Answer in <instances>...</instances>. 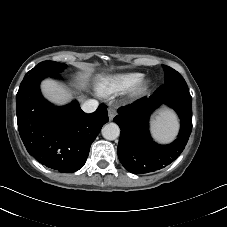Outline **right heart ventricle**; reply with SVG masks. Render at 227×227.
Here are the masks:
<instances>
[{
	"label": "right heart ventricle",
	"mask_w": 227,
	"mask_h": 227,
	"mask_svg": "<svg viewBox=\"0 0 227 227\" xmlns=\"http://www.w3.org/2000/svg\"><path fill=\"white\" fill-rule=\"evenodd\" d=\"M139 72L115 74L99 79L98 89L105 95L131 89L142 77Z\"/></svg>",
	"instance_id": "right-heart-ventricle-1"
}]
</instances>
